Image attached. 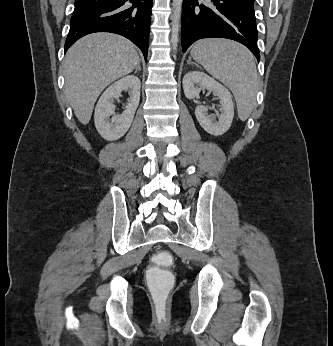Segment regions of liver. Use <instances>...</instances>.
I'll return each instance as SVG.
<instances>
[{
    "label": "liver",
    "instance_id": "obj_1",
    "mask_svg": "<svg viewBox=\"0 0 333 346\" xmlns=\"http://www.w3.org/2000/svg\"><path fill=\"white\" fill-rule=\"evenodd\" d=\"M138 63L134 44L112 33H93L70 47L64 59L65 95L82 124L89 123L100 93Z\"/></svg>",
    "mask_w": 333,
    "mask_h": 346
}]
</instances>
